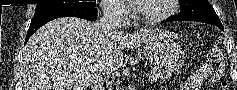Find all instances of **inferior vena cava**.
Listing matches in <instances>:
<instances>
[{"mask_svg": "<svg viewBox=\"0 0 237 90\" xmlns=\"http://www.w3.org/2000/svg\"><path fill=\"white\" fill-rule=\"evenodd\" d=\"M101 10L103 12V16H101L98 24L101 28L102 34H106V36H113V34H117L118 30H120L122 26V16L124 12V6L122 4H103L101 6ZM92 74V90H105L104 82L108 76H110V72H108L106 68V64H98L96 70L91 72Z\"/></svg>", "mask_w": 237, "mask_h": 90, "instance_id": "inferior-vena-cava-1", "label": "inferior vena cava"}]
</instances>
